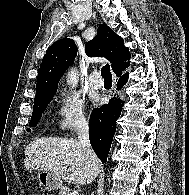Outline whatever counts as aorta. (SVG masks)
<instances>
[{"mask_svg":"<svg viewBox=\"0 0 189 195\" xmlns=\"http://www.w3.org/2000/svg\"><path fill=\"white\" fill-rule=\"evenodd\" d=\"M67 83L72 87H76L78 83V72L75 69H71L67 74Z\"/></svg>","mask_w":189,"mask_h":195,"instance_id":"obj_1","label":"aorta"}]
</instances>
